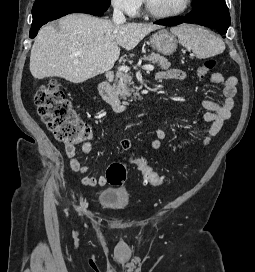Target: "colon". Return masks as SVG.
<instances>
[{
  "mask_svg": "<svg viewBox=\"0 0 255 272\" xmlns=\"http://www.w3.org/2000/svg\"><path fill=\"white\" fill-rule=\"evenodd\" d=\"M215 64L214 59H207L198 67L197 75L200 78L205 77ZM34 102L42 121L66 148H75L90 138V127L78 118L57 82L50 81L41 86L35 93ZM134 163L148 184L160 186L165 182L164 177L155 172L144 157L135 158ZM126 175L127 171L123 164L113 162L108 166L106 176L109 184L113 186L123 184Z\"/></svg>",
  "mask_w": 255,
  "mask_h": 272,
  "instance_id": "5ec220e1",
  "label": "colon"
}]
</instances>
